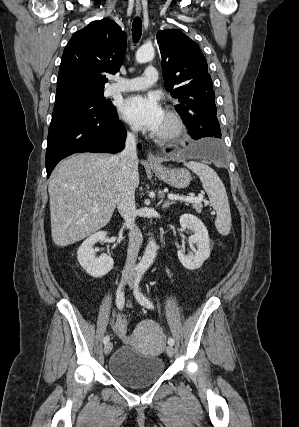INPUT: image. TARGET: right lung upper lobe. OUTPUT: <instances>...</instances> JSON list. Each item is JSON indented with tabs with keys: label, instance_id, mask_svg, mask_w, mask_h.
Returning a JSON list of instances; mask_svg holds the SVG:
<instances>
[{
	"label": "right lung upper lobe",
	"instance_id": "1",
	"mask_svg": "<svg viewBox=\"0 0 299 427\" xmlns=\"http://www.w3.org/2000/svg\"><path fill=\"white\" fill-rule=\"evenodd\" d=\"M126 50V34L112 20L93 21L73 34L58 73L55 102L104 92L105 73L119 71Z\"/></svg>",
	"mask_w": 299,
	"mask_h": 427
}]
</instances>
